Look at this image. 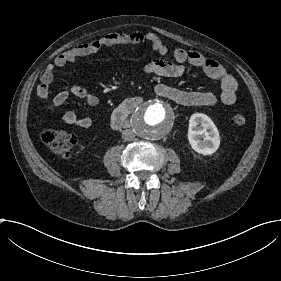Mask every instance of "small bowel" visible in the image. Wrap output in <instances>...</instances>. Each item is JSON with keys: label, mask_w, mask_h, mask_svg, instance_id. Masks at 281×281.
Masks as SVG:
<instances>
[{"label": "small bowel", "mask_w": 281, "mask_h": 281, "mask_svg": "<svg viewBox=\"0 0 281 281\" xmlns=\"http://www.w3.org/2000/svg\"><path fill=\"white\" fill-rule=\"evenodd\" d=\"M133 47L144 46L158 54H166L169 49L161 37L153 33L131 31V32H112L82 44L75 45L73 48L62 53L54 62L47 66L41 73L40 84L37 90L38 98L42 102H47L46 110L54 111L61 106L69 97V90L59 91L50 99L49 86L52 82L55 71L63 67L66 63L72 62L77 58L95 53L108 47ZM176 63L163 60H153L144 66L146 75H155L166 78H180L186 70L187 65L201 69L206 75L216 79L221 86L220 101L224 105H232L236 100L237 83L230 72L224 69L216 60L206 57L203 54L193 51L176 48L172 53ZM155 93L166 98L173 103L182 106H214L217 103L216 95L208 90L182 89L159 83L154 88ZM71 93L78 98L85 99L87 103L94 106L98 103L95 94L85 88H73ZM61 121L69 126L89 128L93 125V120L89 117H78L73 113L64 114Z\"/></svg>", "instance_id": "1"}]
</instances>
